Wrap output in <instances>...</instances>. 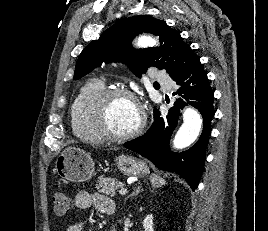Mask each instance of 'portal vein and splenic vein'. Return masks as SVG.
<instances>
[{
	"label": "portal vein and splenic vein",
	"instance_id": "18ae733b",
	"mask_svg": "<svg viewBox=\"0 0 268 231\" xmlns=\"http://www.w3.org/2000/svg\"><path fill=\"white\" fill-rule=\"evenodd\" d=\"M127 189L126 188H121L120 191H119V194L121 195H125L127 193Z\"/></svg>",
	"mask_w": 268,
	"mask_h": 231
}]
</instances>
